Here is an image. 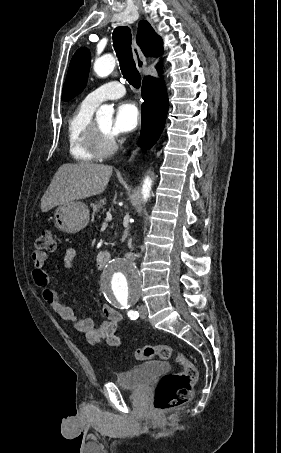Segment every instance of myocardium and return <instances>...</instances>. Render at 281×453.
Here are the masks:
<instances>
[{"label": "myocardium", "mask_w": 281, "mask_h": 453, "mask_svg": "<svg viewBox=\"0 0 281 453\" xmlns=\"http://www.w3.org/2000/svg\"><path fill=\"white\" fill-rule=\"evenodd\" d=\"M89 143L92 152L100 157L113 155L119 149V143L112 135H106L98 125L97 121L92 122Z\"/></svg>", "instance_id": "1"}]
</instances>
